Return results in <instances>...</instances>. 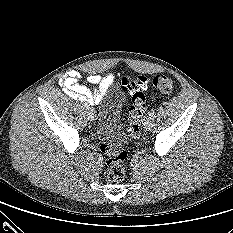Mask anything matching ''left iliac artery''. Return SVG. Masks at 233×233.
I'll return each mask as SVG.
<instances>
[{"label": "left iliac artery", "instance_id": "obj_1", "mask_svg": "<svg viewBox=\"0 0 233 233\" xmlns=\"http://www.w3.org/2000/svg\"><path fill=\"white\" fill-rule=\"evenodd\" d=\"M154 114H155V111L154 110H151L150 112H149V116H154Z\"/></svg>", "mask_w": 233, "mask_h": 233}]
</instances>
